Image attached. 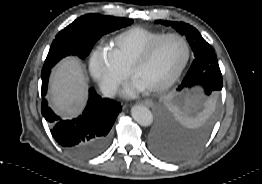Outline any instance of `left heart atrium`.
<instances>
[{
	"instance_id": "left-heart-atrium-1",
	"label": "left heart atrium",
	"mask_w": 262,
	"mask_h": 184,
	"mask_svg": "<svg viewBox=\"0 0 262 184\" xmlns=\"http://www.w3.org/2000/svg\"><path fill=\"white\" fill-rule=\"evenodd\" d=\"M145 89L143 85H141L137 80H134L131 85L126 87L124 90L125 95H134L138 92H141Z\"/></svg>"
}]
</instances>
